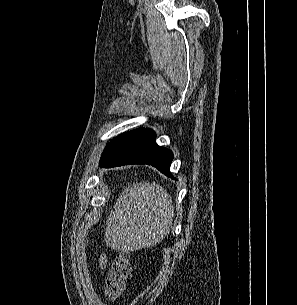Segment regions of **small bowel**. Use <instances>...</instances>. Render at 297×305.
Here are the masks:
<instances>
[{
  "mask_svg": "<svg viewBox=\"0 0 297 305\" xmlns=\"http://www.w3.org/2000/svg\"><path fill=\"white\" fill-rule=\"evenodd\" d=\"M106 262H107L106 257H100L99 259L100 266L104 267L106 265Z\"/></svg>",
  "mask_w": 297,
  "mask_h": 305,
  "instance_id": "1",
  "label": "small bowel"
}]
</instances>
